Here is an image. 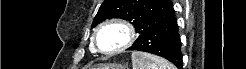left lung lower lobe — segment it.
<instances>
[{"label": "left lung lower lobe", "mask_w": 246, "mask_h": 69, "mask_svg": "<svg viewBox=\"0 0 246 69\" xmlns=\"http://www.w3.org/2000/svg\"><path fill=\"white\" fill-rule=\"evenodd\" d=\"M181 41L175 14L168 20L146 29L128 50L162 56L182 69Z\"/></svg>", "instance_id": "obj_1"}]
</instances>
